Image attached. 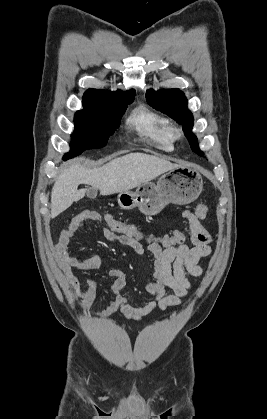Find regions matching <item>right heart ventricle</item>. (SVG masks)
<instances>
[{"instance_id": "right-heart-ventricle-1", "label": "right heart ventricle", "mask_w": 267, "mask_h": 419, "mask_svg": "<svg viewBox=\"0 0 267 419\" xmlns=\"http://www.w3.org/2000/svg\"><path fill=\"white\" fill-rule=\"evenodd\" d=\"M127 124L144 140L163 151H172L174 138L171 123L163 114L145 106L136 107L127 118Z\"/></svg>"}]
</instances>
